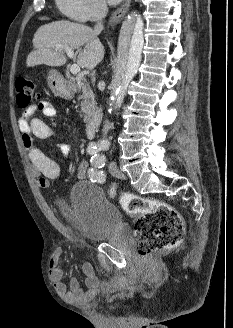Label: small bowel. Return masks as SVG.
I'll list each match as a JSON object with an SVG mask.
<instances>
[{"label":"small bowel","mask_w":233,"mask_h":328,"mask_svg":"<svg viewBox=\"0 0 233 328\" xmlns=\"http://www.w3.org/2000/svg\"><path fill=\"white\" fill-rule=\"evenodd\" d=\"M39 110L45 117L53 118L57 111L53 104L48 101H40L37 104L27 107L18 119V127L21 133L22 142L26 149L32 172L36 178V183L41 188H47L51 180L58 177L60 165L43 153L35 143L36 139H47L54 135V131L42 119L35 116ZM62 152L67 153L68 149L61 147ZM87 162L82 160L78 166L77 176L85 178ZM62 250H55L49 260V274L57 293L69 303H85L92 300L99 285L94 269L90 263L82 265L84 282L86 289H83L80 282L72 278L69 286L63 283L64 270L61 267Z\"/></svg>","instance_id":"c3829d8e"}]
</instances>
